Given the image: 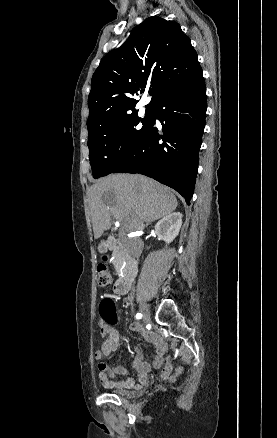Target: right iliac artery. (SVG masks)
I'll return each mask as SVG.
<instances>
[{
  "label": "right iliac artery",
  "mask_w": 277,
  "mask_h": 438,
  "mask_svg": "<svg viewBox=\"0 0 277 438\" xmlns=\"http://www.w3.org/2000/svg\"><path fill=\"white\" fill-rule=\"evenodd\" d=\"M136 318H137V319H141V318H142V314H141V313H137V314H136Z\"/></svg>",
  "instance_id": "obj_1"
}]
</instances>
